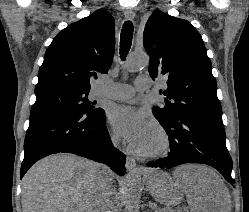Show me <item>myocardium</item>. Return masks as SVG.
I'll return each instance as SVG.
<instances>
[{"instance_id":"f54148a6","label":"myocardium","mask_w":249,"mask_h":212,"mask_svg":"<svg viewBox=\"0 0 249 212\" xmlns=\"http://www.w3.org/2000/svg\"><path fill=\"white\" fill-rule=\"evenodd\" d=\"M149 125L158 131L161 138V145L158 149L152 152L145 153L140 151L137 153V156L143 159H156L167 156L172 148V138L168 130L161 122L155 119L150 120Z\"/></svg>"}]
</instances>
